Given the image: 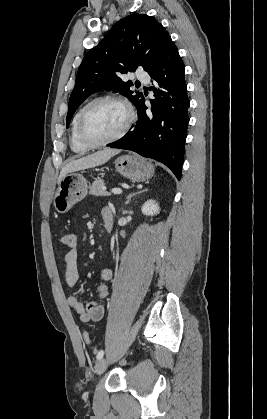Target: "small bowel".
Returning a JSON list of instances; mask_svg holds the SVG:
<instances>
[{
  "mask_svg": "<svg viewBox=\"0 0 267 419\" xmlns=\"http://www.w3.org/2000/svg\"><path fill=\"white\" fill-rule=\"evenodd\" d=\"M103 220L112 217V213L108 208L102 211ZM78 250L76 245L69 248L64 257L65 269L64 276L68 288L74 289L80 279L78 268ZM113 273L111 268L103 269L99 274V283L97 286V295L99 299H105L109 294L107 282L112 279ZM68 305L79 315L81 322H97L104 317V307L99 303L93 301L87 304L83 303L76 293H73L67 298Z\"/></svg>",
  "mask_w": 267,
  "mask_h": 419,
  "instance_id": "obj_1",
  "label": "small bowel"
}]
</instances>
